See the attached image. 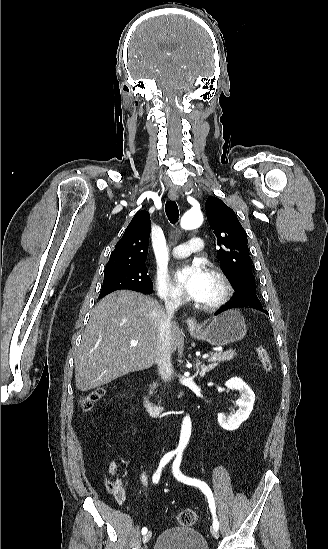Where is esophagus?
Segmentation results:
<instances>
[{"mask_svg":"<svg viewBox=\"0 0 328 549\" xmlns=\"http://www.w3.org/2000/svg\"><path fill=\"white\" fill-rule=\"evenodd\" d=\"M168 197L170 200H177L178 199V191L176 188H171L168 192ZM186 324L189 330H196L198 327L197 320L195 317H188L186 319Z\"/></svg>","mask_w":328,"mask_h":549,"instance_id":"34e87169","label":"esophagus"}]
</instances>
